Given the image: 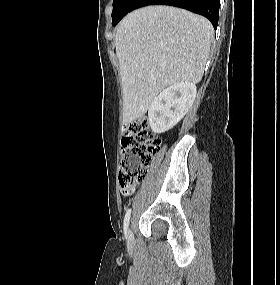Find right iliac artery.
Returning <instances> with one entry per match:
<instances>
[{
    "label": "right iliac artery",
    "mask_w": 280,
    "mask_h": 285,
    "mask_svg": "<svg viewBox=\"0 0 280 285\" xmlns=\"http://www.w3.org/2000/svg\"><path fill=\"white\" fill-rule=\"evenodd\" d=\"M130 214H131V209H128L124 218V233L126 235L127 229L129 226V220H130Z\"/></svg>",
    "instance_id": "obj_1"
}]
</instances>
